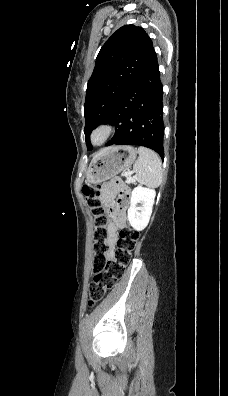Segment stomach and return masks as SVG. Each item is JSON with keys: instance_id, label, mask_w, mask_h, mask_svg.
<instances>
[{"instance_id": "1", "label": "stomach", "mask_w": 228, "mask_h": 396, "mask_svg": "<svg viewBox=\"0 0 228 396\" xmlns=\"http://www.w3.org/2000/svg\"><path fill=\"white\" fill-rule=\"evenodd\" d=\"M136 155V149L132 146L108 148L96 156L89 165L86 172L87 182L97 184L119 174L135 162Z\"/></svg>"}]
</instances>
